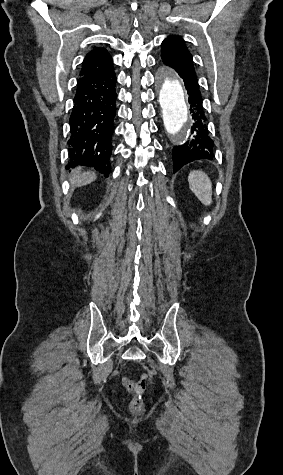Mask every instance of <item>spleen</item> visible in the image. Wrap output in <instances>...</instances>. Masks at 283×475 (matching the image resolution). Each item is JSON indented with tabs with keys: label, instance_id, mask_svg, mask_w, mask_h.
<instances>
[{
	"label": "spleen",
	"instance_id": "obj_1",
	"mask_svg": "<svg viewBox=\"0 0 283 475\" xmlns=\"http://www.w3.org/2000/svg\"><path fill=\"white\" fill-rule=\"evenodd\" d=\"M188 182L190 190L194 192L198 200L204 206H210L212 204V184L210 178L204 172L194 170V172H190Z\"/></svg>",
	"mask_w": 283,
	"mask_h": 475
}]
</instances>
